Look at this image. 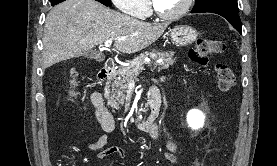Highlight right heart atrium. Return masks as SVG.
Segmentation results:
<instances>
[{"instance_id":"obj_1","label":"right heart atrium","mask_w":277,"mask_h":166,"mask_svg":"<svg viewBox=\"0 0 277 166\" xmlns=\"http://www.w3.org/2000/svg\"><path fill=\"white\" fill-rule=\"evenodd\" d=\"M115 7L121 12L140 17L143 16L149 8L148 0H111Z\"/></svg>"}]
</instances>
